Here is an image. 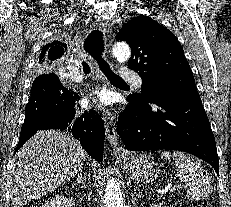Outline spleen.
Here are the masks:
<instances>
[{"label":"spleen","mask_w":231,"mask_h":207,"mask_svg":"<svg viewBox=\"0 0 231 207\" xmlns=\"http://www.w3.org/2000/svg\"><path fill=\"white\" fill-rule=\"evenodd\" d=\"M160 155L164 161H169L171 158L175 161L178 176L185 183L187 196L191 200L204 199L213 192L210 176L195 158L183 152L171 154L168 151H163Z\"/></svg>","instance_id":"obj_1"}]
</instances>
